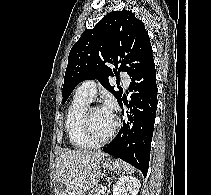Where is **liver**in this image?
I'll list each match as a JSON object with an SVG mask.
<instances>
[{
    "label": "liver",
    "mask_w": 211,
    "mask_h": 195,
    "mask_svg": "<svg viewBox=\"0 0 211 195\" xmlns=\"http://www.w3.org/2000/svg\"><path fill=\"white\" fill-rule=\"evenodd\" d=\"M106 154L86 150H68L56 163V180L59 190L56 195H79L90 189L88 176L95 170ZM61 188L65 191H61Z\"/></svg>",
    "instance_id": "liver-1"
}]
</instances>
